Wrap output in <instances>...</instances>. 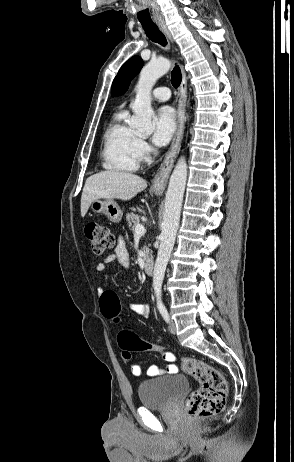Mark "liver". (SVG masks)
Returning a JSON list of instances; mask_svg holds the SVG:
<instances>
[{"instance_id":"1","label":"liver","mask_w":294,"mask_h":462,"mask_svg":"<svg viewBox=\"0 0 294 462\" xmlns=\"http://www.w3.org/2000/svg\"><path fill=\"white\" fill-rule=\"evenodd\" d=\"M147 187L142 177L121 171H102L85 182L81 196V216L84 217L94 200H131Z\"/></svg>"}]
</instances>
